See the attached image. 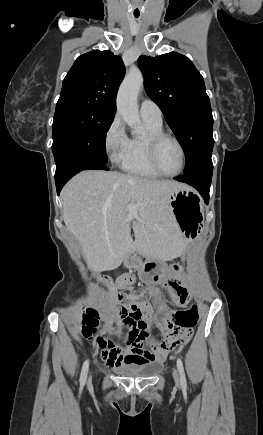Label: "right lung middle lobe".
Masks as SVG:
<instances>
[{
	"label": "right lung middle lobe",
	"mask_w": 263,
	"mask_h": 435,
	"mask_svg": "<svg viewBox=\"0 0 263 435\" xmlns=\"http://www.w3.org/2000/svg\"><path fill=\"white\" fill-rule=\"evenodd\" d=\"M114 113L89 105L56 107L52 151L56 167L69 159L107 164L106 133Z\"/></svg>",
	"instance_id": "1"
}]
</instances>
